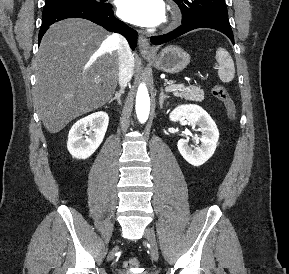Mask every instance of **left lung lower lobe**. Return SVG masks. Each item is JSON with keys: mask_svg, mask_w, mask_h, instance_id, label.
Returning <instances> with one entry per match:
<instances>
[{"mask_svg": "<svg viewBox=\"0 0 289 274\" xmlns=\"http://www.w3.org/2000/svg\"><path fill=\"white\" fill-rule=\"evenodd\" d=\"M197 28H211L218 30L224 33L234 44V37L228 16L224 15H203L197 17L191 21L183 23L180 27L166 35L152 37L151 42L154 45H160Z\"/></svg>", "mask_w": 289, "mask_h": 274, "instance_id": "1", "label": "left lung lower lobe"}]
</instances>
